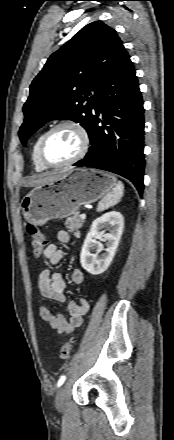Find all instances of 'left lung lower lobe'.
<instances>
[{
	"instance_id": "1",
	"label": "left lung lower lobe",
	"mask_w": 174,
	"mask_h": 440,
	"mask_svg": "<svg viewBox=\"0 0 174 440\" xmlns=\"http://www.w3.org/2000/svg\"><path fill=\"white\" fill-rule=\"evenodd\" d=\"M143 114L135 68L124 49L93 104V115L87 128L91 144L89 152L74 166L119 174L129 179L142 196L145 167Z\"/></svg>"
}]
</instances>
